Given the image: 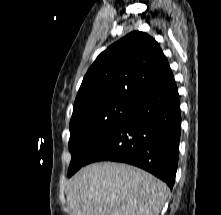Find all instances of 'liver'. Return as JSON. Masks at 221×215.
<instances>
[{"mask_svg": "<svg viewBox=\"0 0 221 215\" xmlns=\"http://www.w3.org/2000/svg\"><path fill=\"white\" fill-rule=\"evenodd\" d=\"M167 185L137 167L101 162L77 172L67 185L70 215H159Z\"/></svg>", "mask_w": 221, "mask_h": 215, "instance_id": "obj_1", "label": "liver"}]
</instances>
